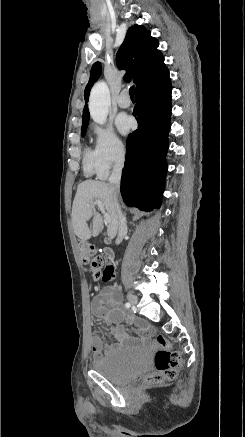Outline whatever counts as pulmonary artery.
<instances>
[{
	"label": "pulmonary artery",
	"mask_w": 245,
	"mask_h": 437,
	"mask_svg": "<svg viewBox=\"0 0 245 437\" xmlns=\"http://www.w3.org/2000/svg\"><path fill=\"white\" fill-rule=\"evenodd\" d=\"M117 104L120 108H128L131 105V101L126 90H123L118 96Z\"/></svg>",
	"instance_id": "pulmonary-artery-1"
}]
</instances>
